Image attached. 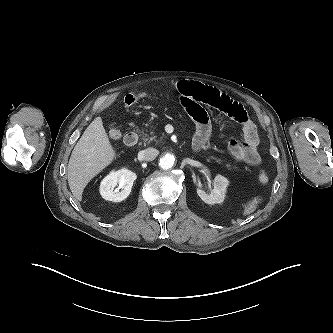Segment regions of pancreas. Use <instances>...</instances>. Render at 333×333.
<instances>
[{"label":"pancreas","instance_id":"1","mask_svg":"<svg viewBox=\"0 0 333 333\" xmlns=\"http://www.w3.org/2000/svg\"><path fill=\"white\" fill-rule=\"evenodd\" d=\"M142 133H143L142 140H143L144 143H148L149 144V143H151L153 141L157 142V139H156L157 135L155 134L154 131L150 132V136L148 134H145L143 131H142Z\"/></svg>","mask_w":333,"mask_h":333}]
</instances>
